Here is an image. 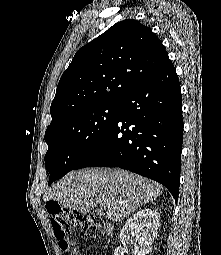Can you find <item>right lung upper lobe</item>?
I'll use <instances>...</instances> for the list:
<instances>
[{"label":"right lung upper lobe","instance_id":"cb5924a9","mask_svg":"<svg viewBox=\"0 0 221 255\" xmlns=\"http://www.w3.org/2000/svg\"><path fill=\"white\" fill-rule=\"evenodd\" d=\"M168 59L150 28L133 19L116 23L76 52L58 83L47 130L84 108L120 103Z\"/></svg>","mask_w":221,"mask_h":255}]
</instances>
